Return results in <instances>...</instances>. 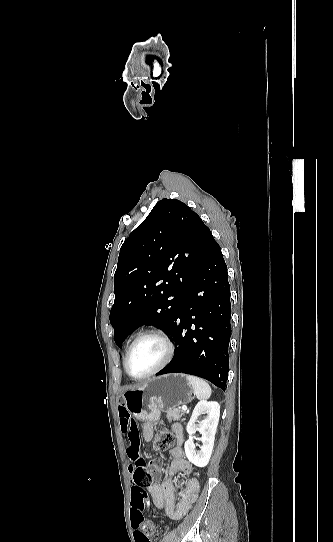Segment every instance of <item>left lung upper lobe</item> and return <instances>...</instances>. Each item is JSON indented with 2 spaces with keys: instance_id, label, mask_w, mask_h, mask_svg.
<instances>
[{
  "instance_id": "left-lung-upper-lobe-1",
  "label": "left lung upper lobe",
  "mask_w": 333,
  "mask_h": 542,
  "mask_svg": "<svg viewBox=\"0 0 333 542\" xmlns=\"http://www.w3.org/2000/svg\"><path fill=\"white\" fill-rule=\"evenodd\" d=\"M213 240L199 215L183 202L165 198L154 206L120 249L110 312L119 348L143 324L172 332Z\"/></svg>"
}]
</instances>
